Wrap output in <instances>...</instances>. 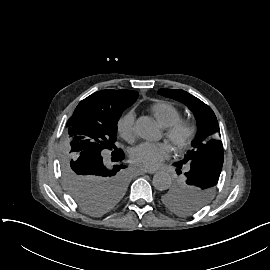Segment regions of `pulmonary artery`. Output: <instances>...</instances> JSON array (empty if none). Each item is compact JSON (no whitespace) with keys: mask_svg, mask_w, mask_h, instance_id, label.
<instances>
[{"mask_svg":"<svg viewBox=\"0 0 270 270\" xmlns=\"http://www.w3.org/2000/svg\"><path fill=\"white\" fill-rule=\"evenodd\" d=\"M165 130H168V129H165ZM184 170H185V171H188V170H189V166H185V167H184Z\"/></svg>","mask_w":270,"mask_h":270,"instance_id":"obj_1","label":"pulmonary artery"}]
</instances>
